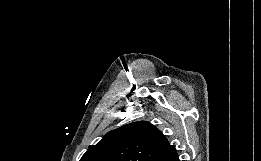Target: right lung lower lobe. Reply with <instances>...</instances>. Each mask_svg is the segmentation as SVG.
Listing matches in <instances>:
<instances>
[{"label": "right lung lower lobe", "instance_id": "obj_1", "mask_svg": "<svg viewBox=\"0 0 261 161\" xmlns=\"http://www.w3.org/2000/svg\"><path fill=\"white\" fill-rule=\"evenodd\" d=\"M163 161H180V160H179V157H178L177 153H175L174 155H172V156L166 158V159L163 160Z\"/></svg>", "mask_w": 261, "mask_h": 161}]
</instances>
